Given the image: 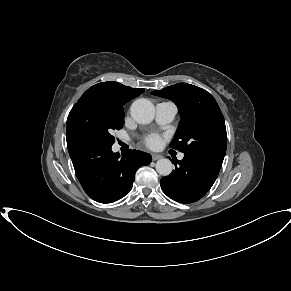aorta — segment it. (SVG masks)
Listing matches in <instances>:
<instances>
[{
    "instance_id": "obj_1",
    "label": "aorta",
    "mask_w": 291,
    "mask_h": 291,
    "mask_svg": "<svg viewBox=\"0 0 291 291\" xmlns=\"http://www.w3.org/2000/svg\"><path fill=\"white\" fill-rule=\"evenodd\" d=\"M132 118L139 124H148L153 121L155 116V107L151 101L146 98L135 100L130 108ZM173 170L172 162L167 158L159 159L156 162V171L162 176H168Z\"/></svg>"
}]
</instances>
